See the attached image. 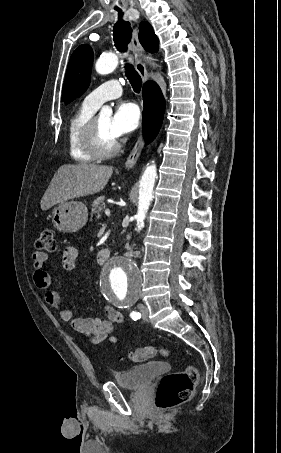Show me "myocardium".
I'll return each mask as SVG.
<instances>
[{
    "instance_id": "f54148a6",
    "label": "myocardium",
    "mask_w": 281,
    "mask_h": 453,
    "mask_svg": "<svg viewBox=\"0 0 281 453\" xmlns=\"http://www.w3.org/2000/svg\"><path fill=\"white\" fill-rule=\"evenodd\" d=\"M99 117H93L84 133V146L88 153L96 158H111L121 149V142L115 139L109 147H105L98 123Z\"/></svg>"
}]
</instances>
